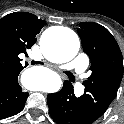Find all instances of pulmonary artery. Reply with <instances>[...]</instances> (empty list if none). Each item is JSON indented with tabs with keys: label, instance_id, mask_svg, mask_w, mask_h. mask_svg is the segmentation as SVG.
<instances>
[{
	"label": "pulmonary artery",
	"instance_id": "pulmonary-artery-1",
	"mask_svg": "<svg viewBox=\"0 0 124 124\" xmlns=\"http://www.w3.org/2000/svg\"><path fill=\"white\" fill-rule=\"evenodd\" d=\"M88 64L89 59L87 55L82 53L74 61L62 66V69L73 71L78 76L75 82V91L77 95H81L83 93L84 88L81 78Z\"/></svg>",
	"mask_w": 124,
	"mask_h": 124
}]
</instances>
